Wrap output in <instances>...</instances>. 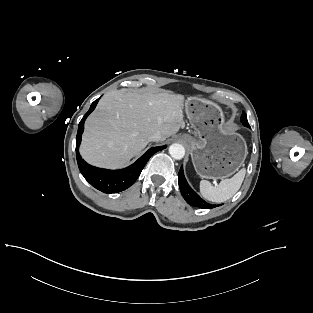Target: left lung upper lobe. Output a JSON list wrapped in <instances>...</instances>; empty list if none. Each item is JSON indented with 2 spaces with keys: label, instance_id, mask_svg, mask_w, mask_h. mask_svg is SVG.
<instances>
[{
  "label": "left lung upper lobe",
  "instance_id": "left-lung-upper-lobe-1",
  "mask_svg": "<svg viewBox=\"0 0 313 313\" xmlns=\"http://www.w3.org/2000/svg\"><path fill=\"white\" fill-rule=\"evenodd\" d=\"M241 122L243 123L244 126L250 127L249 124H248L247 116H246L245 112H243L242 115H241Z\"/></svg>",
  "mask_w": 313,
  "mask_h": 313
}]
</instances>
